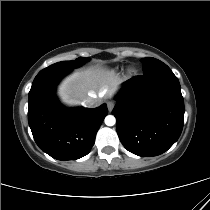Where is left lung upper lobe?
<instances>
[{
    "mask_svg": "<svg viewBox=\"0 0 210 210\" xmlns=\"http://www.w3.org/2000/svg\"><path fill=\"white\" fill-rule=\"evenodd\" d=\"M141 62L143 63V72H148L164 64L160 60L152 58V57L143 58L141 59Z\"/></svg>",
    "mask_w": 210,
    "mask_h": 210,
    "instance_id": "obj_1",
    "label": "left lung upper lobe"
}]
</instances>
